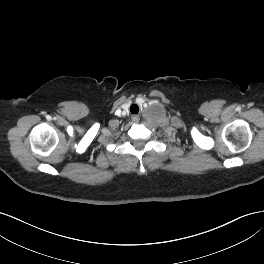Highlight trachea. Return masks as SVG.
<instances>
[{"label":"trachea","mask_w":264,"mask_h":264,"mask_svg":"<svg viewBox=\"0 0 264 264\" xmlns=\"http://www.w3.org/2000/svg\"><path fill=\"white\" fill-rule=\"evenodd\" d=\"M130 112L132 113V114H138V112H139V107H138V105H136V104H132L131 105V107H130Z\"/></svg>","instance_id":"1"}]
</instances>
